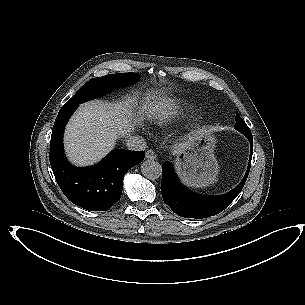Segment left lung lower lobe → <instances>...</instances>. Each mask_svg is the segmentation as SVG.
<instances>
[{"label": "left lung lower lobe", "instance_id": "obj_1", "mask_svg": "<svg viewBox=\"0 0 305 305\" xmlns=\"http://www.w3.org/2000/svg\"><path fill=\"white\" fill-rule=\"evenodd\" d=\"M248 139L253 145V140ZM242 187L234 193L229 203L222 205L212 204L210 197L194 194L183 187L169 162H165L162 166L161 193L163 200L181 217L200 219L214 216L230 205Z\"/></svg>", "mask_w": 305, "mask_h": 305}]
</instances>
